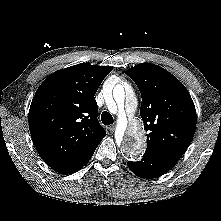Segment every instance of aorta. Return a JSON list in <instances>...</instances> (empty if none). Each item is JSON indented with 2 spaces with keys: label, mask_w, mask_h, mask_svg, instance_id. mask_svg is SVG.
Segmentation results:
<instances>
[{
  "label": "aorta",
  "mask_w": 221,
  "mask_h": 221,
  "mask_svg": "<svg viewBox=\"0 0 221 221\" xmlns=\"http://www.w3.org/2000/svg\"><path fill=\"white\" fill-rule=\"evenodd\" d=\"M105 99L108 105L111 99H113L118 108L121 127L125 129L124 137L119 140L121 150L127 157L139 159L146 147L144 124L141 120L132 119L127 128L122 125L126 117L125 110L131 116L137 108V99L133 89L124 82L117 83L114 85L111 94L109 90H106Z\"/></svg>",
  "instance_id": "1"
}]
</instances>
